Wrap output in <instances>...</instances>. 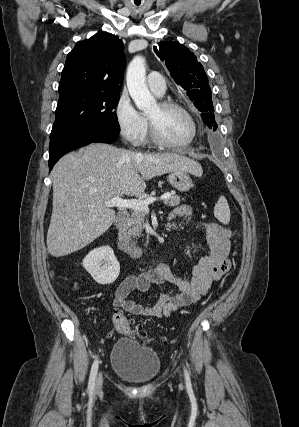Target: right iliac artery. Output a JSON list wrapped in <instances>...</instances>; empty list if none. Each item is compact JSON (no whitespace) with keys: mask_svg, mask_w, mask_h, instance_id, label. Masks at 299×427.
Masks as SVG:
<instances>
[{"mask_svg":"<svg viewBox=\"0 0 299 427\" xmlns=\"http://www.w3.org/2000/svg\"><path fill=\"white\" fill-rule=\"evenodd\" d=\"M98 365H99V362L96 359L92 365L90 376H89L88 389L90 391H93L94 386H95V380H96V375H97V371H98Z\"/></svg>","mask_w":299,"mask_h":427,"instance_id":"right-iliac-artery-1","label":"right iliac artery"}]
</instances>
